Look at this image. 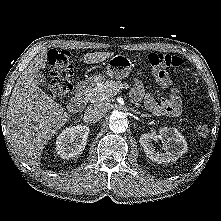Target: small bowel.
I'll return each mask as SVG.
<instances>
[{"label": "small bowel", "mask_w": 221, "mask_h": 221, "mask_svg": "<svg viewBox=\"0 0 221 221\" xmlns=\"http://www.w3.org/2000/svg\"><path fill=\"white\" fill-rule=\"evenodd\" d=\"M131 97L134 101L144 99L147 109L156 115L177 116L181 111V101L176 90H173L167 98L159 103L151 94H145L142 83L136 80L131 91Z\"/></svg>", "instance_id": "c3829d8e"}]
</instances>
